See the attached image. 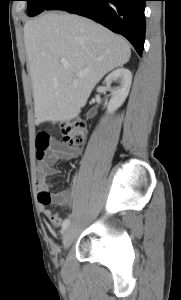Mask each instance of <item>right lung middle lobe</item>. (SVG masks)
I'll list each match as a JSON object with an SVG mask.
<instances>
[{
  "label": "right lung middle lobe",
  "mask_w": 181,
  "mask_h": 300,
  "mask_svg": "<svg viewBox=\"0 0 181 300\" xmlns=\"http://www.w3.org/2000/svg\"><path fill=\"white\" fill-rule=\"evenodd\" d=\"M28 4L29 16H35L44 10H50L58 0H25Z\"/></svg>",
  "instance_id": "obj_1"
}]
</instances>
